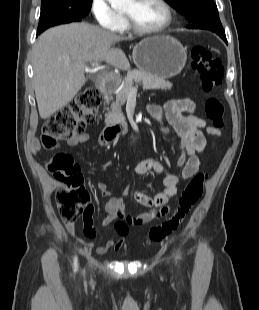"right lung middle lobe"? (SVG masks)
<instances>
[{"label": "right lung middle lobe", "mask_w": 259, "mask_h": 310, "mask_svg": "<svg viewBox=\"0 0 259 310\" xmlns=\"http://www.w3.org/2000/svg\"><path fill=\"white\" fill-rule=\"evenodd\" d=\"M92 0H46L41 2V14L37 33L70 22H78L91 9Z\"/></svg>", "instance_id": "obj_1"}]
</instances>
